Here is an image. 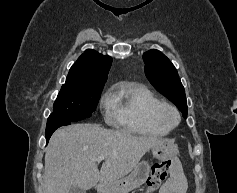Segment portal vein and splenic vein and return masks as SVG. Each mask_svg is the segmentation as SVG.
I'll list each match as a JSON object with an SVG mask.
<instances>
[{"mask_svg": "<svg viewBox=\"0 0 237 193\" xmlns=\"http://www.w3.org/2000/svg\"><path fill=\"white\" fill-rule=\"evenodd\" d=\"M105 157H106L105 155H100V156H98V157H97V159H96V160L99 162V161H102V160H104V159H105Z\"/></svg>", "mask_w": 237, "mask_h": 193, "instance_id": "obj_1", "label": "portal vein and splenic vein"}]
</instances>
